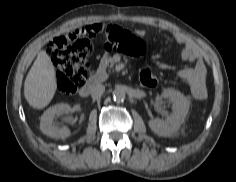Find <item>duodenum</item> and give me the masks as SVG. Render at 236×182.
Listing matches in <instances>:
<instances>
[{
	"instance_id": "obj_1",
	"label": "duodenum",
	"mask_w": 236,
	"mask_h": 182,
	"mask_svg": "<svg viewBox=\"0 0 236 182\" xmlns=\"http://www.w3.org/2000/svg\"><path fill=\"white\" fill-rule=\"evenodd\" d=\"M104 78V72L101 71L97 75L92 76L80 89V95L87 97L91 91L97 86Z\"/></svg>"
}]
</instances>
